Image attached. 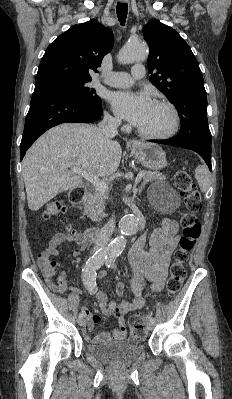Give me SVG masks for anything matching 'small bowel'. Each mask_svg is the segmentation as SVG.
<instances>
[{
	"mask_svg": "<svg viewBox=\"0 0 232 399\" xmlns=\"http://www.w3.org/2000/svg\"><path fill=\"white\" fill-rule=\"evenodd\" d=\"M179 230L176 223L172 220L163 221L161 227L153 232L150 236H137L133 239L131 249L128 254L130 265L135 271L131 285L133 294L132 301H123L117 303L115 300L107 301L103 292L97 293L98 301L102 307L104 315L115 314L118 317L119 329L116 332H102L94 334V323L100 321L98 315L89 310L87 306H82L81 311L86 316L87 321L82 322L78 329L80 333L92 344L101 345L104 339L111 344H119V342L127 335L128 327L125 325V313L130 310L139 309L144 305L141 298L143 284L139 280V276L147 277L152 283V290L159 293L163 290L170 256L179 240ZM150 243L149 252L143 251V246ZM88 247L86 242H80L78 248L71 252V256L75 259L80 257V252ZM50 252L53 256L60 255L61 251L57 243H52ZM109 274V270L103 269L99 275L101 277ZM117 294L122 297L125 294V287L122 283L117 286Z\"/></svg>",
	"mask_w": 232,
	"mask_h": 399,
	"instance_id": "small-bowel-1",
	"label": "small bowel"
}]
</instances>
